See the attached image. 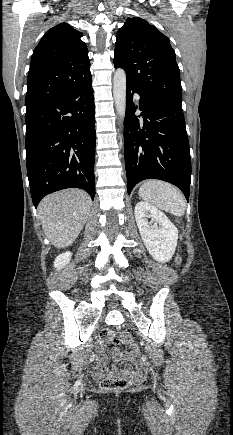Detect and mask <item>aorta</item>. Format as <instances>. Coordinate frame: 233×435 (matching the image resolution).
<instances>
[{
	"label": "aorta",
	"instance_id": "762f6f07",
	"mask_svg": "<svg viewBox=\"0 0 233 435\" xmlns=\"http://www.w3.org/2000/svg\"><path fill=\"white\" fill-rule=\"evenodd\" d=\"M113 96L116 110L122 123L126 111V74L123 69H117L113 77Z\"/></svg>",
	"mask_w": 233,
	"mask_h": 435
}]
</instances>
